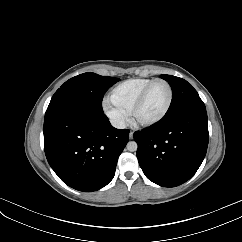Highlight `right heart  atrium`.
Returning a JSON list of instances; mask_svg holds the SVG:
<instances>
[{
	"mask_svg": "<svg viewBox=\"0 0 242 242\" xmlns=\"http://www.w3.org/2000/svg\"><path fill=\"white\" fill-rule=\"evenodd\" d=\"M103 110L110 121L117 127L124 126L128 120L129 114L107 98L103 101Z\"/></svg>",
	"mask_w": 242,
	"mask_h": 242,
	"instance_id": "right-heart-atrium-1",
	"label": "right heart atrium"
}]
</instances>
